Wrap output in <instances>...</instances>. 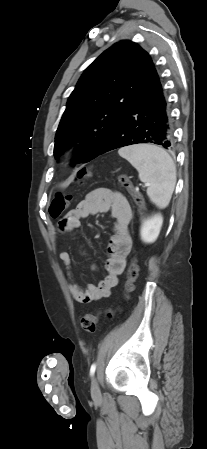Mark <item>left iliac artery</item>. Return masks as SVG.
I'll return each mask as SVG.
<instances>
[{
    "mask_svg": "<svg viewBox=\"0 0 207 449\" xmlns=\"http://www.w3.org/2000/svg\"><path fill=\"white\" fill-rule=\"evenodd\" d=\"M95 370H96V364L93 363V364L91 365V368H90V375H91V376L94 375Z\"/></svg>",
    "mask_w": 207,
    "mask_h": 449,
    "instance_id": "left-iliac-artery-1",
    "label": "left iliac artery"
}]
</instances>
